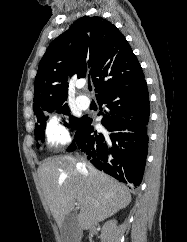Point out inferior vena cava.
I'll return each instance as SVG.
<instances>
[{"label":"inferior vena cava","instance_id":"obj_1","mask_svg":"<svg viewBox=\"0 0 187 242\" xmlns=\"http://www.w3.org/2000/svg\"><path fill=\"white\" fill-rule=\"evenodd\" d=\"M78 166L81 167V171H82L85 175H88V171H87L86 167H85L82 163H79Z\"/></svg>","mask_w":187,"mask_h":242}]
</instances>
